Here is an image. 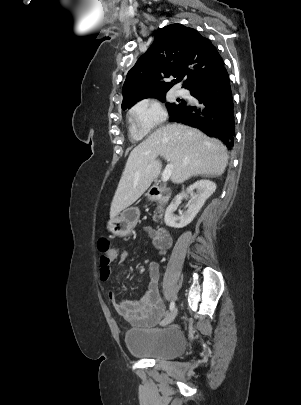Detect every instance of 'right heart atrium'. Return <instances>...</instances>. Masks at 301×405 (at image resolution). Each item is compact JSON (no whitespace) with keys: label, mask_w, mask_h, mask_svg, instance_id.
I'll use <instances>...</instances> for the list:
<instances>
[{"label":"right heart atrium","mask_w":301,"mask_h":405,"mask_svg":"<svg viewBox=\"0 0 301 405\" xmlns=\"http://www.w3.org/2000/svg\"><path fill=\"white\" fill-rule=\"evenodd\" d=\"M129 116L134 129L147 134L165 121L166 112L157 100L143 99L130 109Z\"/></svg>","instance_id":"1"}]
</instances>
